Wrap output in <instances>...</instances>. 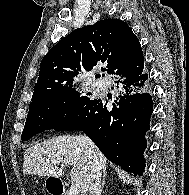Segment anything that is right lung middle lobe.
Returning a JSON list of instances; mask_svg holds the SVG:
<instances>
[{
  "mask_svg": "<svg viewBox=\"0 0 189 195\" xmlns=\"http://www.w3.org/2000/svg\"><path fill=\"white\" fill-rule=\"evenodd\" d=\"M87 95L70 87L32 102L21 139L25 141L35 134L55 129L91 100Z\"/></svg>",
  "mask_w": 189,
  "mask_h": 195,
  "instance_id": "1",
  "label": "right lung middle lobe"
}]
</instances>
